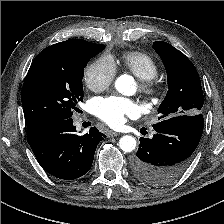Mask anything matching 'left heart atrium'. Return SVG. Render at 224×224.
Instances as JSON below:
<instances>
[{"instance_id":"39dd6f15","label":"left heart atrium","mask_w":224,"mask_h":224,"mask_svg":"<svg viewBox=\"0 0 224 224\" xmlns=\"http://www.w3.org/2000/svg\"><path fill=\"white\" fill-rule=\"evenodd\" d=\"M138 112V105L127 98L112 96L95 103V114L111 127H119L126 117L135 116Z\"/></svg>"}]
</instances>
